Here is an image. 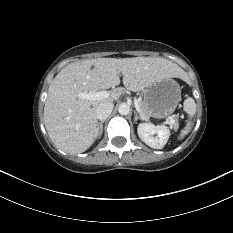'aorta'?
Masks as SVG:
<instances>
[{"instance_id":"aorta-1","label":"aorta","mask_w":233,"mask_h":233,"mask_svg":"<svg viewBox=\"0 0 233 233\" xmlns=\"http://www.w3.org/2000/svg\"><path fill=\"white\" fill-rule=\"evenodd\" d=\"M118 112L121 115H128L130 112V106L126 103H122L118 107Z\"/></svg>"}]
</instances>
